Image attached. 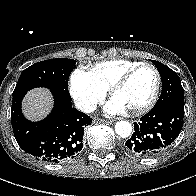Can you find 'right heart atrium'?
Masks as SVG:
<instances>
[{
    "instance_id": "right-heart-atrium-1",
    "label": "right heart atrium",
    "mask_w": 196,
    "mask_h": 196,
    "mask_svg": "<svg viewBox=\"0 0 196 196\" xmlns=\"http://www.w3.org/2000/svg\"><path fill=\"white\" fill-rule=\"evenodd\" d=\"M70 93L76 105L84 112H92L106 96V90L90 71L77 68L71 75Z\"/></svg>"
}]
</instances>
